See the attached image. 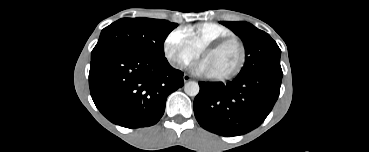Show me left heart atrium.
I'll return each instance as SVG.
<instances>
[{
    "label": "left heart atrium",
    "instance_id": "obj_1",
    "mask_svg": "<svg viewBox=\"0 0 369 152\" xmlns=\"http://www.w3.org/2000/svg\"><path fill=\"white\" fill-rule=\"evenodd\" d=\"M193 71L196 73V74H199V75H206V76H209L208 75V72H207V68L205 66V64L200 61L199 63H197L194 67H193Z\"/></svg>",
    "mask_w": 369,
    "mask_h": 152
}]
</instances>
